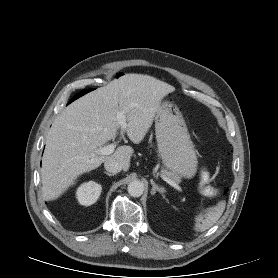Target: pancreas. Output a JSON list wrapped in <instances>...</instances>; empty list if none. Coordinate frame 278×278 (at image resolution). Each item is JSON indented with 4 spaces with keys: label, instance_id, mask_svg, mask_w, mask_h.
Instances as JSON below:
<instances>
[{
    "label": "pancreas",
    "instance_id": "1",
    "mask_svg": "<svg viewBox=\"0 0 278 278\" xmlns=\"http://www.w3.org/2000/svg\"><path fill=\"white\" fill-rule=\"evenodd\" d=\"M162 174L165 176H168V178H170L171 180H173L176 183H179L181 181V176H179L178 174H176L174 172L162 170Z\"/></svg>",
    "mask_w": 278,
    "mask_h": 278
}]
</instances>
